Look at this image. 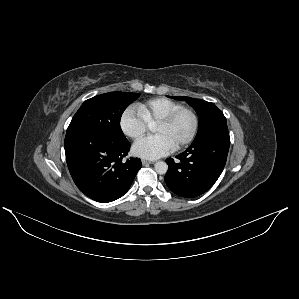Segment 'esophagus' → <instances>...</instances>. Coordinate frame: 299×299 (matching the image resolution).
Masks as SVG:
<instances>
[{
  "label": "esophagus",
  "mask_w": 299,
  "mask_h": 299,
  "mask_svg": "<svg viewBox=\"0 0 299 299\" xmlns=\"http://www.w3.org/2000/svg\"><path fill=\"white\" fill-rule=\"evenodd\" d=\"M143 165H148V164H154V161H149V160H142Z\"/></svg>",
  "instance_id": "obj_1"
}]
</instances>
